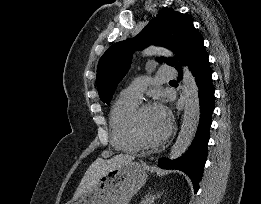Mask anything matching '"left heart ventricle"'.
I'll use <instances>...</instances> for the list:
<instances>
[{
	"instance_id": "b2bd125f",
	"label": "left heart ventricle",
	"mask_w": 261,
	"mask_h": 204,
	"mask_svg": "<svg viewBox=\"0 0 261 204\" xmlns=\"http://www.w3.org/2000/svg\"><path fill=\"white\" fill-rule=\"evenodd\" d=\"M167 125L168 120L158 107L145 110L140 120L141 132L148 141H155L162 137Z\"/></svg>"
}]
</instances>
